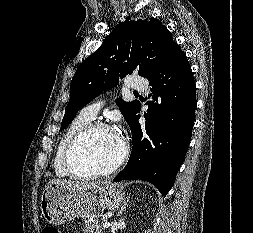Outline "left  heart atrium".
Returning <instances> with one entry per match:
<instances>
[{
    "label": "left heart atrium",
    "mask_w": 253,
    "mask_h": 233,
    "mask_svg": "<svg viewBox=\"0 0 253 233\" xmlns=\"http://www.w3.org/2000/svg\"><path fill=\"white\" fill-rule=\"evenodd\" d=\"M115 132V134H117L119 137H121V131L119 128H116L115 130H113ZM122 138V137H121Z\"/></svg>",
    "instance_id": "1"
}]
</instances>
